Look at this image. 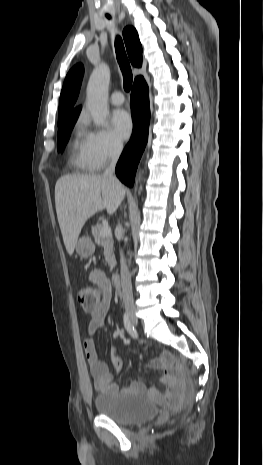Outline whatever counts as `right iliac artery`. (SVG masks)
<instances>
[{
    "mask_svg": "<svg viewBox=\"0 0 263 465\" xmlns=\"http://www.w3.org/2000/svg\"><path fill=\"white\" fill-rule=\"evenodd\" d=\"M123 321H124V326H125L127 332H128L133 338H137V337H138L137 331H136V329L134 328L132 322L130 321V318H129V316H128L127 313L124 314Z\"/></svg>",
    "mask_w": 263,
    "mask_h": 465,
    "instance_id": "right-iliac-artery-1",
    "label": "right iliac artery"
}]
</instances>
